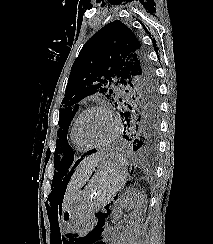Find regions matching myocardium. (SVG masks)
Here are the masks:
<instances>
[{
    "instance_id": "f54148a6",
    "label": "myocardium",
    "mask_w": 213,
    "mask_h": 244,
    "mask_svg": "<svg viewBox=\"0 0 213 244\" xmlns=\"http://www.w3.org/2000/svg\"><path fill=\"white\" fill-rule=\"evenodd\" d=\"M92 111L105 112L109 116V118L112 122V125H113V130H112L111 135L108 137V139H106L104 142L99 143V144H88L85 141H83L78 134V126H79L81 120L83 119V117L86 114H88L89 112H92ZM119 131H120V122L117 119V117L115 116V114L113 113V111L111 110V108L106 104H97V105H92V106L87 107L76 118V120L74 122V126H73L74 137L79 142V144L82 145L85 149H102V148L109 146L110 144H112L115 141V139L117 138V136L119 134Z\"/></svg>"
}]
</instances>
